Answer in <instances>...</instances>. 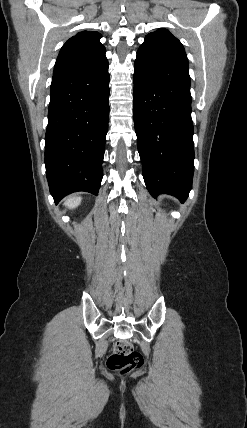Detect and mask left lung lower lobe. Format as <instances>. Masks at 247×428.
Wrapping results in <instances>:
<instances>
[{
	"label": "left lung lower lobe",
	"instance_id": "obj_1",
	"mask_svg": "<svg viewBox=\"0 0 247 428\" xmlns=\"http://www.w3.org/2000/svg\"><path fill=\"white\" fill-rule=\"evenodd\" d=\"M133 80L135 131L147 189L184 202L194 172L188 67L139 48Z\"/></svg>",
	"mask_w": 247,
	"mask_h": 428
}]
</instances>
